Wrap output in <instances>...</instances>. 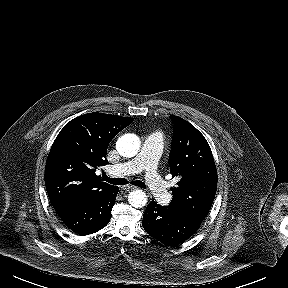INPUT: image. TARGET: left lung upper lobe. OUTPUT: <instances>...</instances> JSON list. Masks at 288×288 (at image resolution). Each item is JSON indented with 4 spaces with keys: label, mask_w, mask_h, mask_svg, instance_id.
<instances>
[{
    "label": "left lung upper lobe",
    "mask_w": 288,
    "mask_h": 288,
    "mask_svg": "<svg viewBox=\"0 0 288 288\" xmlns=\"http://www.w3.org/2000/svg\"><path fill=\"white\" fill-rule=\"evenodd\" d=\"M173 138L170 173L178 178L171 188L169 208L202 222L208 215L217 189L214 158L205 137L186 120L171 115Z\"/></svg>",
    "instance_id": "1"
}]
</instances>
